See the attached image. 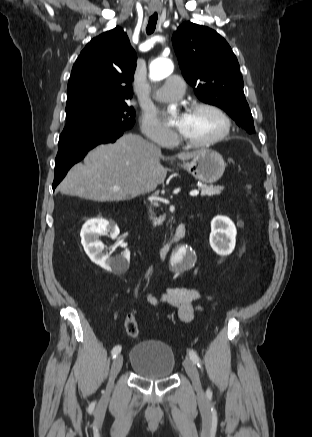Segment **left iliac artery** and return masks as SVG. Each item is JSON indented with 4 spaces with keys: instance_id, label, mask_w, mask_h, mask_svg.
<instances>
[{
    "instance_id": "obj_1",
    "label": "left iliac artery",
    "mask_w": 312,
    "mask_h": 437,
    "mask_svg": "<svg viewBox=\"0 0 312 437\" xmlns=\"http://www.w3.org/2000/svg\"><path fill=\"white\" fill-rule=\"evenodd\" d=\"M188 354H189L190 359H191V360H192V361H193V362H194L198 367L201 368V361H200V358H199L198 354H197L195 351H193V350H189ZM207 393L210 394L211 391L208 390Z\"/></svg>"
}]
</instances>
